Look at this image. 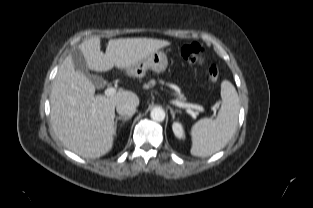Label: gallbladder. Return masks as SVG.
Instances as JSON below:
<instances>
[{
    "mask_svg": "<svg viewBox=\"0 0 313 208\" xmlns=\"http://www.w3.org/2000/svg\"><path fill=\"white\" fill-rule=\"evenodd\" d=\"M70 55L72 56L73 63L78 68V70L81 73L86 74L87 77L92 81L95 87L100 88L103 85H105L106 81L101 76L91 75L89 73L86 59L78 47L73 48L70 51Z\"/></svg>",
    "mask_w": 313,
    "mask_h": 208,
    "instance_id": "gallbladder-1",
    "label": "gallbladder"
}]
</instances>
